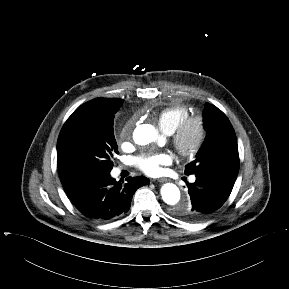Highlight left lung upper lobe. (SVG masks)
Wrapping results in <instances>:
<instances>
[{
	"mask_svg": "<svg viewBox=\"0 0 289 289\" xmlns=\"http://www.w3.org/2000/svg\"><path fill=\"white\" fill-rule=\"evenodd\" d=\"M207 137L196 159L185 167V174L215 173L237 178L239 154L234 129L226 115L207 103L203 111Z\"/></svg>",
	"mask_w": 289,
	"mask_h": 289,
	"instance_id": "left-lung-upper-lobe-1",
	"label": "left lung upper lobe"
}]
</instances>
